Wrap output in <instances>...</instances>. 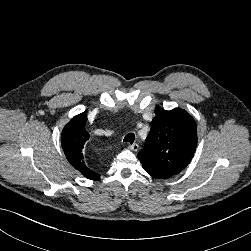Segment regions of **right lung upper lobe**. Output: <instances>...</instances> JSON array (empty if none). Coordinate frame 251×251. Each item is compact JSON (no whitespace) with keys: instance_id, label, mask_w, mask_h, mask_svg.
I'll return each instance as SVG.
<instances>
[{"instance_id":"right-lung-upper-lobe-1","label":"right lung upper lobe","mask_w":251,"mask_h":251,"mask_svg":"<svg viewBox=\"0 0 251 251\" xmlns=\"http://www.w3.org/2000/svg\"><path fill=\"white\" fill-rule=\"evenodd\" d=\"M86 121L85 113L72 118L62 131L61 143L70 164L88 179L95 180L100 175L87 166L82 153L84 144L89 139V133L85 129Z\"/></svg>"}]
</instances>
